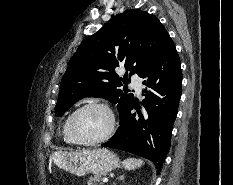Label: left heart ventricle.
Masks as SVG:
<instances>
[{"mask_svg": "<svg viewBox=\"0 0 233 185\" xmlns=\"http://www.w3.org/2000/svg\"><path fill=\"white\" fill-rule=\"evenodd\" d=\"M110 117L102 108H89L78 114L74 121V130L82 139H94L109 129Z\"/></svg>", "mask_w": 233, "mask_h": 185, "instance_id": "b2bd125f", "label": "left heart ventricle"}]
</instances>
